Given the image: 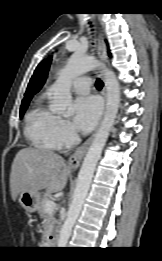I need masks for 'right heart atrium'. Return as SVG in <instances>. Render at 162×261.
<instances>
[{
    "instance_id": "obj_1",
    "label": "right heart atrium",
    "mask_w": 162,
    "mask_h": 261,
    "mask_svg": "<svg viewBox=\"0 0 162 261\" xmlns=\"http://www.w3.org/2000/svg\"><path fill=\"white\" fill-rule=\"evenodd\" d=\"M53 137L57 148L67 147L77 141V135L66 119L58 117L53 125Z\"/></svg>"
}]
</instances>
